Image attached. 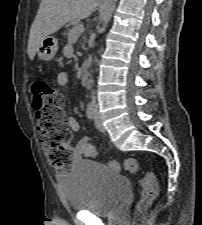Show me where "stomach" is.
Returning a JSON list of instances; mask_svg holds the SVG:
<instances>
[{"mask_svg":"<svg viewBox=\"0 0 202 225\" xmlns=\"http://www.w3.org/2000/svg\"><path fill=\"white\" fill-rule=\"evenodd\" d=\"M58 51V40L53 36H47L43 39L37 54L43 61H51Z\"/></svg>","mask_w":202,"mask_h":225,"instance_id":"1","label":"stomach"}]
</instances>
